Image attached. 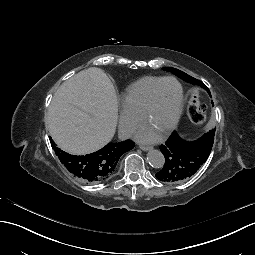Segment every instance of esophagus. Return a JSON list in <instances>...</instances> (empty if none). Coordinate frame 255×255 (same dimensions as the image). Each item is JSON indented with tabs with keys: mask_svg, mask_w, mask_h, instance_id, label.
<instances>
[{
	"mask_svg": "<svg viewBox=\"0 0 255 255\" xmlns=\"http://www.w3.org/2000/svg\"><path fill=\"white\" fill-rule=\"evenodd\" d=\"M139 147L143 151H150L152 149L151 146H147V145H140Z\"/></svg>",
	"mask_w": 255,
	"mask_h": 255,
	"instance_id": "34e87169",
	"label": "esophagus"
}]
</instances>
